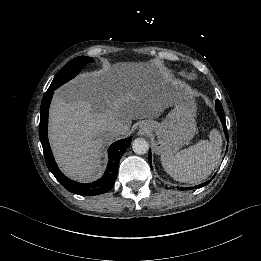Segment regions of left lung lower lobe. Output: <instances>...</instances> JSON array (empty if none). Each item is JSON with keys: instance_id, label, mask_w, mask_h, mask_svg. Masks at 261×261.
Returning <instances> with one entry per match:
<instances>
[{"instance_id": "obj_1", "label": "left lung lower lobe", "mask_w": 261, "mask_h": 261, "mask_svg": "<svg viewBox=\"0 0 261 261\" xmlns=\"http://www.w3.org/2000/svg\"><path fill=\"white\" fill-rule=\"evenodd\" d=\"M215 108H216V111H217V113H218V116L220 117V120H221V122H222V124H223V129H224V132H225V136H226L227 139H229V137H228V132H227V127H226V121H225L224 110H223V107H222V105H221V103H220L219 100H216V102H215ZM149 163L151 164V151H149ZM151 168H152V166H151ZM214 177H215V175L213 176V178H214ZM209 182H210V181H207V182H205V183H202V184L198 185L197 187L200 188V187H202V186H205V185H207Z\"/></svg>"}]
</instances>
